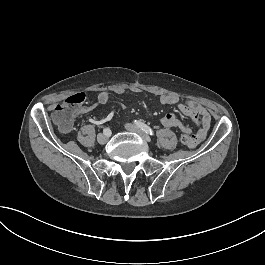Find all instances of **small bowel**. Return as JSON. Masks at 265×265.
I'll return each mask as SVG.
<instances>
[{
	"label": "small bowel",
	"mask_w": 265,
	"mask_h": 265,
	"mask_svg": "<svg viewBox=\"0 0 265 265\" xmlns=\"http://www.w3.org/2000/svg\"><path fill=\"white\" fill-rule=\"evenodd\" d=\"M133 91L139 92V89H134ZM114 92L116 94H124L126 89L124 87H116ZM98 100L100 104H109L111 102L110 94L107 91H103L99 94ZM159 101L162 105L176 106L181 114L191 118L198 125V130L193 133L191 128L178 119L174 113H168L160 119L162 126L166 128L177 127L183 132V134L190 135L194 140L191 142V147L197 148L198 143L203 141L207 136L211 125V116L208 110L197 102L191 100H180L178 97L170 94H162L159 97ZM117 105L120 108H124V105L122 104ZM90 110H92L91 106H81L76 109L75 113L85 114ZM125 121L129 122L130 118L126 117Z\"/></svg>",
	"instance_id": "small-bowel-1"
}]
</instances>
